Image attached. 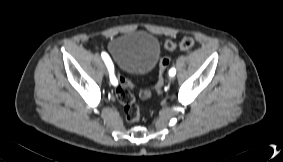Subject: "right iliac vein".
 Returning a JSON list of instances; mask_svg holds the SVG:
<instances>
[{
  "instance_id": "63e3f726",
  "label": "right iliac vein",
  "mask_w": 283,
  "mask_h": 162,
  "mask_svg": "<svg viewBox=\"0 0 283 162\" xmlns=\"http://www.w3.org/2000/svg\"><path fill=\"white\" fill-rule=\"evenodd\" d=\"M104 73L108 75V70L106 68L104 69Z\"/></svg>"
}]
</instances>
